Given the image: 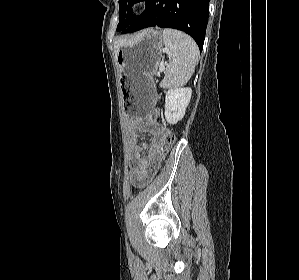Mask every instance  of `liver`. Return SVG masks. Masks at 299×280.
I'll list each match as a JSON object with an SVG mask.
<instances>
[{"label":"liver","instance_id":"obj_1","mask_svg":"<svg viewBox=\"0 0 299 280\" xmlns=\"http://www.w3.org/2000/svg\"><path fill=\"white\" fill-rule=\"evenodd\" d=\"M128 42L129 41H127L125 39H119V40L115 41V43H114L115 56H117V53L120 50V48Z\"/></svg>","mask_w":299,"mask_h":280}]
</instances>
